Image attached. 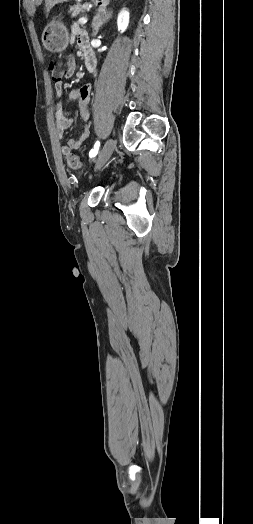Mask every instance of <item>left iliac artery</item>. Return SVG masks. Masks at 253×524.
I'll use <instances>...</instances> for the list:
<instances>
[{
	"instance_id": "left-iliac-artery-1",
	"label": "left iliac artery",
	"mask_w": 253,
	"mask_h": 524,
	"mask_svg": "<svg viewBox=\"0 0 253 524\" xmlns=\"http://www.w3.org/2000/svg\"><path fill=\"white\" fill-rule=\"evenodd\" d=\"M99 146H100V142L99 141H96L95 145H94V148L90 151L89 153V156L90 157H95L98 153V150H99Z\"/></svg>"
}]
</instances>
